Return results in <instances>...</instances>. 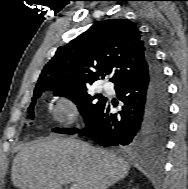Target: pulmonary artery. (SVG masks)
Segmentation results:
<instances>
[{"label": "pulmonary artery", "mask_w": 188, "mask_h": 189, "mask_svg": "<svg viewBox=\"0 0 188 189\" xmlns=\"http://www.w3.org/2000/svg\"><path fill=\"white\" fill-rule=\"evenodd\" d=\"M103 89H105L106 87L105 86H102Z\"/></svg>", "instance_id": "e3ab8cb5"}]
</instances>
